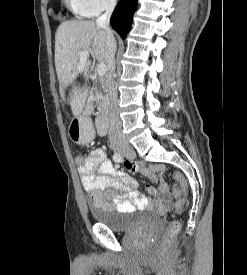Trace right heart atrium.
Segmentation results:
<instances>
[{
	"label": "right heart atrium",
	"instance_id": "d8ad5b80",
	"mask_svg": "<svg viewBox=\"0 0 247 275\" xmlns=\"http://www.w3.org/2000/svg\"><path fill=\"white\" fill-rule=\"evenodd\" d=\"M84 12L89 16H96L104 11L113 9L117 0H80Z\"/></svg>",
	"mask_w": 247,
	"mask_h": 275
}]
</instances>
